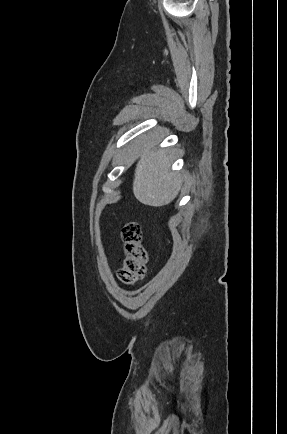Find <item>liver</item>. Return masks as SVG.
Here are the masks:
<instances>
[{
    "label": "liver",
    "instance_id": "liver-1",
    "mask_svg": "<svg viewBox=\"0 0 287 434\" xmlns=\"http://www.w3.org/2000/svg\"><path fill=\"white\" fill-rule=\"evenodd\" d=\"M155 145H149L140 156L135 169L133 191L141 203L161 207L177 197L182 181L176 173L169 171L167 153L157 150Z\"/></svg>",
    "mask_w": 287,
    "mask_h": 434
}]
</instances>
